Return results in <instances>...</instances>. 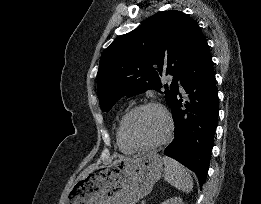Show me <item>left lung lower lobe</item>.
Instances as JSON below:
<instances>
[{"label": "left lung lower lobe", "instance_id": "obj_1", "mask_svg": "<svg viewBox=\"0 0 261 204\" xmlns=\"http://www.w3.org/2000/svg\"><path fill=\"white\" fill-rule=\"evenodd\" d=\"M179 80L188 99H182L177 87L170 105L175 138L164 153L195 172L202 187L209 168L219 106L212 56L201 30L193 40Z\"/></svg>", "mask_w": 261, "mask_h": 204}]
</instances>
